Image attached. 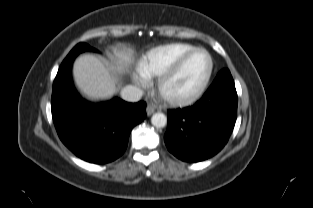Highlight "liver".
<instances>
[{"mask_svg":"<svg viewBox=\"0 0 313 208\" xmlns=\"http://www.w3.org/2000/svg\"><path fill=\"white\" fill-rule=\"evenodd\" d=\"M114 54L119 71L127 68L134 60L130 49L114 50ZM73 75L78 88L91 99H108L116 92V76L94 55L79 56L74 62Z\"/></svg>","mask_w":313,"mask_h":208,"instance_id":"1","label":"liver"}]
</instances>
